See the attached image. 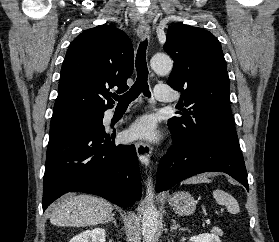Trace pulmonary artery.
Segmentation results:
<instances>
[{
    "mask_svg": "<svg viewBox=\"0 0 279 242\" xmlns=\"http://www.w3.org/2000/svg\"><path fill=\"white\" fill-rule=\"evenodd\" d=\"M155 98L160 102L173 101L171 87L168 85H157L155 87Z\"/></svg>",
    "mask_w": 279,
    "mask_h": 242,
    "instance_id": "pulmonary-artery-1",
    "label": "pulmonary artery"
}]
</instances>
